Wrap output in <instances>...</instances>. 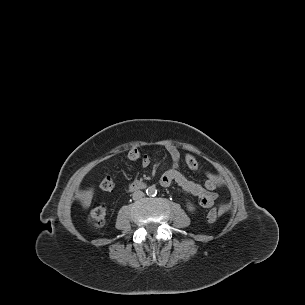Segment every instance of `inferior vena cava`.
Segmentation results:
<instances>
[{
  "label": "inferior vena cava",
  "instance_id": "obj_1",
  "mask_svg": "<svg viewBox=\"0 0 305 305\" xmlns=\"http://www.w3.org/2000/svg\"><path fill=\"white\" fill-rule=\"evenodd\" d=\"M143 196H144V193H143L142 191H140V190L135 191V192L132 194V198H133L134 200H138V199L142 198Z\"/></svg>",
  "mask_w": 305,
  "mask_h": 305
}]
</instances>
